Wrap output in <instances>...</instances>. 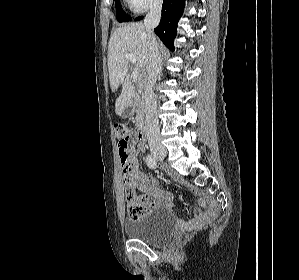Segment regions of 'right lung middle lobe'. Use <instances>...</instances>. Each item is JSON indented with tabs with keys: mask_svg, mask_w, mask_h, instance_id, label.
<instances>
[{
	"mask_svg": "<svg viewBox=\"0 0 299 280\" xmlns=\"http://www.w3.org/2000/svg\"><path fill=\"white\" fill-rule=\"evenodd\" d=\"M116 12H117V21L127 22L132 19L131 16L126 15L120 6V0H115Z\"/></svg>",
	"mask_w": 299,
	"mask_h": 280,
	"instance_id": "right-lung-middle-lobe-1",
	"label": "right lung middle lobe"
}]
</instances>
